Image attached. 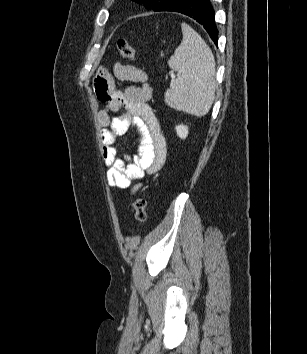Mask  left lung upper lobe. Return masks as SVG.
I'll list each match as a JSON object with an SVG mask.
<instances>
[{
    "instance_id": "5c2ea615",
    "label": "left lung upper lobe",
    "mask_w": 307,
    "mask_h": 354,
    "mask_svg": "<svg viewBox=\"0 0 307 354\" xmlns=\"http://www.w3.org/2000/svg\"><path fill=\"white\" fill-rule=\"evenodd\" d=\"M138 3H143L147 9H152L158 11L164 5L167 4L169 0H134Z\"/></svg>"
}]
</instances>
